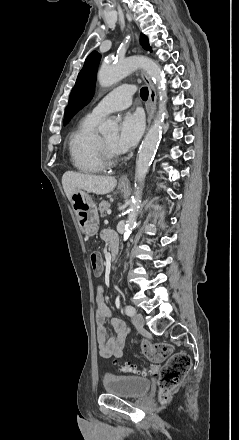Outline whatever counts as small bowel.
<instances>
[{
  "label": "small bowel",
  "mask_w": 239,
  "mask_h": 440,
  "mask_svg": "<svg viewBox=\"0 0 239 440\" xmlns=\"http://www.w3.org/2000/svg\"><path fill=\"white\" fill-rule=\"evenodd\" d=\"M102 237L110 242H117L116 235L113 232L105 231ZM96 327H97V343L101 357H121L128 334L127 327L124 322L119 319L112 318L110 310L105 302V294L103 287L99 286L96 290ZM110 319L113 334L108 335L105 322Z\"/></svg>",
  "instance_id": "1"
}]
</instances>
